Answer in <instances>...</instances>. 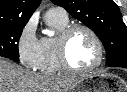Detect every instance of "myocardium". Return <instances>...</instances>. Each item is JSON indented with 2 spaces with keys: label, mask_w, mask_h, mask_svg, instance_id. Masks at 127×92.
I'll use <instances>...</instances> for the list:
<instances>
[{
  "label": "myocardium",
  "mask_w": 127,
  "mask_h": 92,
  "mask_svg": "<svg viewBox=\"0 0 127 92\" xmlns=\"http://www.w3.org/2000/svg\"><path fill=\"white\" fill-rule=\"evenodd\" d=\"M79 30L87 32L94 40L98 56L96 61L89 67L78 69L75 68L69 61L68 58V45L72 35ZM57 56L61 68L69 73L84 74L93 71L98 68L104 60V47L99 35L89 26L84 24H71L63 29L57 37L56 41Z\"/></svg>",
  "instance_id": "1"
}]
</instances>
